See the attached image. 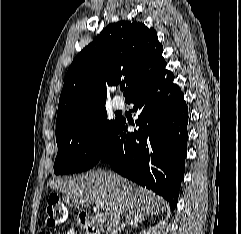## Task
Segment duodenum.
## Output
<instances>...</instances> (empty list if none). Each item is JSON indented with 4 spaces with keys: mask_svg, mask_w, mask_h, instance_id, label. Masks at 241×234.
<instances>
[{
    "mask_svg": "<svg viewBox=\"0 0 241 234\" xmlns=\"http://www.w3.org/2000/svg\"><path fill=\"white\" fill-rule=\"evenodd\" d=\"M78 222L81 227H83L87 234H100V231L97 226H95L87 212H81L78 216Z\"/></svg>",
    "mask_w": 241,
    "mask_h": 234,
    "instance_id": "1",
    "label": "duodenum"
}]
</instances>
